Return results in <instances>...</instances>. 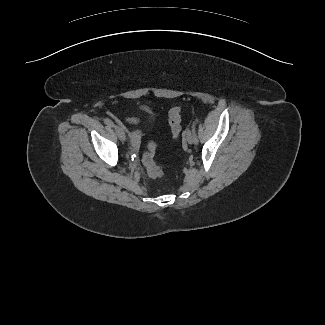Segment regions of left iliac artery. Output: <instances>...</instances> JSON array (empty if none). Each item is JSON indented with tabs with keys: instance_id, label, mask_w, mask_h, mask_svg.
<instances>
[{
	"instance_id": "44dca946",
	"label": "left iliac artery",
	"mask_w": 325,
	"mask_h": 325,
	"mask_svg": "<svg viewBox=\"0 0 325 325\" xmlns=\"http://www.w3.org/2000/svg\"><path fill=\"white\" fill-rule=\"evenodd\" d=\"M191 131H192V134H193V137H194V141H195V143H197L198 138H197V134H196V120L192 123Z\"/></svg>"
}]
</instances>
